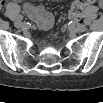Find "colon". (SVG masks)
Masks as SVG:
<instances>
[{"label": "colon", "instance_id": "colon-1", "mask_svg": "<svg viewBox=\"0 0 103 103\" xmlns=\"http://www.w3.org/2000/svg\"><path fill=\"white\" fill-rule=\"evenodd\" d=\"M87 6V2L83 0H77L72 3L70 8V16L74 20H80L83 12Z\"/></svg>", "mask_w": 103, "mask_h": 103}]
</instances>
